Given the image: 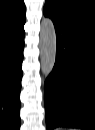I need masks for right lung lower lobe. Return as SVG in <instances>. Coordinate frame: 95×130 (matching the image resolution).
Returning <instances> with one entry per match:
<instances>
[{"instance_id": "obj_1", "label": "right lung lower lobe", "mask_w": 95, "mask_h": 130, "mask_svg": "<svg viewBox=\"0 0 95 130\" xmlns=\"http://www.w3.org/2000/svg\"><path fill=\"white\" fill-rule=\"evenodd\" d=\"M24 30L0 40V127L20 129V90Z\"/></svg>"}]
</instances>
